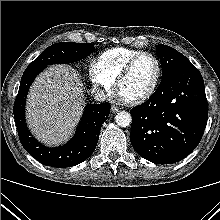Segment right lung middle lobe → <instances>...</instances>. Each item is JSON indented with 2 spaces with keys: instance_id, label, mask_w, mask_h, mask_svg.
<instances>
[{
  "instance_id": "dd1d6c3e",
  "label": "right lung middle lobe",
  "mask_w": 220,
  "mask_h": 220,
  "mask_svg": "<svg viewBox=\"0 0 220 220\" xmlns=\"http://www.w3.org/2000/svg\"><path fill=\"white\" fill-rule=\"evenodd\" d=\"M94 51L93 44L61 42L46 48L28 67L46 68L50 64H66L84 59Z\"/></svg>"
}]
</instances>
